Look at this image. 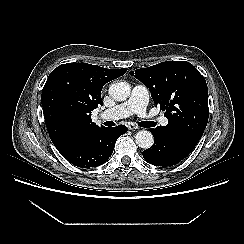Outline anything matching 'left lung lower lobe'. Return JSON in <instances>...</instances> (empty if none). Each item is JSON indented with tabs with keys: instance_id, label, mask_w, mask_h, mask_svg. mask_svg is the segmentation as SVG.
Returning <instances> with one entry per match:
<instances>
[{
	"instance_id": "left-lung-lower-lobe-1",
	"label": "left lung lower lobe",
	"mask_w": 244,
	"mask_h": 244,
	"mask_svg": "<svg viewBox=\"0 0 244 244\" xmlns=\"http://www.w3.org/2000/svg\"><path fill=\"white\" fill-rule=\"evenodd\" d=\"M154 144L143 151L144 159L156 166H173L185 159L194 149L185 146L181 141L172 136H166L161 127L151 129Z\"/></svg>"
}]
</instances>
